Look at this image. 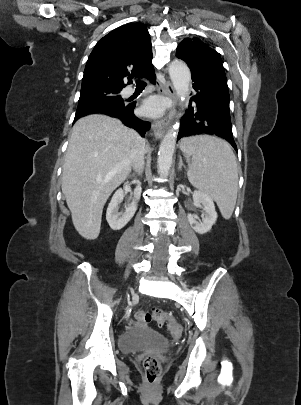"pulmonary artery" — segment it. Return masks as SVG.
I'll use <instances>...</instances> for the list:
<instances>
[{"label": "pulmonary artery", "mask_w": 301, "mask_h": 405, "mask_svg": "<svg viewBox=\"0 0 301 405\" xmlns=\"http://www.w3.org/2000/svg\"><path fill=\"white\" fill-rule=\"evenodd\" d=\"M133 92H134V90H133L132 88H125L124 91H123V94H124L125 96H129V95H131Z\"/></svg>", "instance_id": "obj_1"}]
</instances>
